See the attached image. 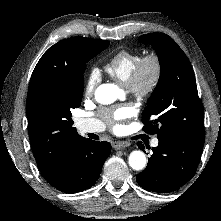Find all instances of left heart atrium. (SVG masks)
<instances>
[{
    "label": "left heart atrium",
    "mask_w": 221,
    "mask_h": 221,
    "mask_svg": "<svg viewBox=\"0 0 221 221\" xmlns=\"http://www.w3.org/2000/svg\"><path fill=\"white\" fill-rule=\"evenodd\" d=\"M102 114L112 129L115 132H119L123 128L124 121L132 116V109L128 106H121L104 110Z\"/></svg>",
    "instance_id": "obj_1"
}]
</instances>
